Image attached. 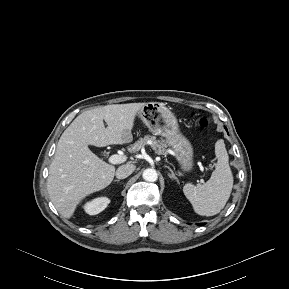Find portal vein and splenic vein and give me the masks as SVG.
Here are the masks:
<instances>
[{
    "label": "portal vein and splenic vein",
    "instance_id": "obj_1",
    "mask_svg": "<svg viewBox=\"0 0 289 289\" xmlns=\"http://www.w3.org/2000/svg\"><path fill=\"white\" fill-rule=\"evenodd\" d=\"M111 164H120L126 161V156L123 155H111L108 159Z\"/></svg>",
    "mask_w": 289,
    "mask_h": 289
}]
</instances>
